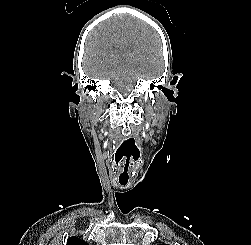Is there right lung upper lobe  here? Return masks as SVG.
<instances>
[{
  "label": "right lung upper lobe",
  "mask_w": 251,
  "mask_h": 245,
  "mask_svg": "<svg viewBox=\"0 0 251 245\" xmlns=\"http://www.w3.org/2000/svg\"><path fill=\"white\" fill-rule=\"evenodd\" d=\"M67 245H89V244L74 236L68 239Z\"/></svg>",
  "instance_id": "cb5924a9"
}]
</instances>
